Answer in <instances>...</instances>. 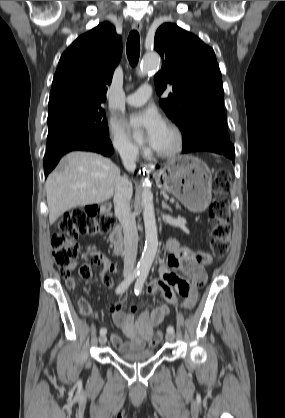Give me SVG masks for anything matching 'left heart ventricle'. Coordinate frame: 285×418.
Listing matches in <instances>:
<instances>
[{
	"label": "left heart ventricle",
	"mask_w": 285,
	"mask_h": 418,
	"mask_svg": "<svg viewBox=\"0 0 285 418\" xmlns=\"http://www.w3.org/2000/svg\"><path fill=\"white\" fill-rule=\"evenodd\" d=\"M173 141L172 133L166 128L155 148L167 149L172 146Z\"/></svg>",
	"instance_id": "left-heart-ventricle-1"
}]
</instances>
